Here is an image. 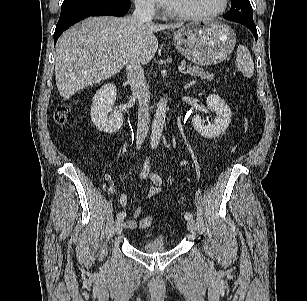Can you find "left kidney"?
Instances as JSON below:
<instances>
[{"label": "left kidney", "mask_w": 307, "mask_h": 301, "mask_svg": "<svg viewBox=\"0 0 307 301\" xmlns=\"http://www.w3.org/2000/svg\"><path fill=\"white\" fill-rule=\"evenodd\" d=\"M207 105L212 108L216 117L214 118L213 124L205 125L201 117L196 115L192 119V125L194 129L205 138H216L228 128L231 122L232 112L227 104L215 94L207 97Z\"/></svg>", "instance_id": "left-kidney-1"}]
</instances>
